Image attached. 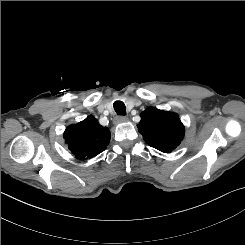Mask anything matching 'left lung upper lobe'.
I'll return each mask as SVG.
<instances>
[{
  "label": "left lung upper lobe",
  "instance_id": "left-lung-upper-lobe-1",
  "mask_svg": "<svg viewBox=\"0 0 245 245\" xmlns=\"http://www.w3.org/2000/svg\"><path fill=\"white\" fill-rule=\"evenodd\" d=\"M140 116L137 127L149 146L170 153L182 141L184 126L177 114L149 107Z\"/></svg>",
  "mask_w": 245,
  "mask_h": 245
}]
</instances>
